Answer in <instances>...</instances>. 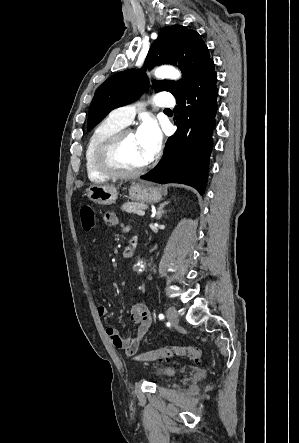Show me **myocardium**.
<instances>
[{
  "mask_svg": "<svg viewBox=\"0 0 299 443\" xmlns=\"http://www.w3.org/2000/svg\"><path fill=\"white\" fill-rule=\"evenodd\" d=\"M134 133L132 129L123 128L107 138L98 148L96 153V165L97 168L106 176L116 179H126L135 177L150 166L149 162H146L142 166L126 170L117 166L115 162V154L120 148L124 139L129 135Z\"/></svg>",
  "mask_w": 299,
  "mask_h": 443,
  "instance_id": "f54148a6",
  "label": "myocardium"
}]
</instances>
